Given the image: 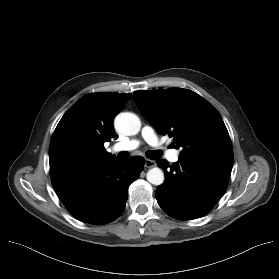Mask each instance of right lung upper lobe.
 Masks as SVG:
<instances>
[{
  "mask_svg": "<svg viewBox=\"0 0 279 279\" xmlns=\"http://www.w3.org/2000/svg\"><path fill=\"white\" fill-rule=\"evenodd\" d=\"M131 98V94L91 93L70 107L51 138V181L117 159L106 152L104 143L114 137L113 120Z\"/></svg>",
  "mask_w": 279,
  "mask_h": 279,
  "instance_id": "right-lung-upper-lobe-1",
  "label": "right lung upper lobe"
}]
</instances>
